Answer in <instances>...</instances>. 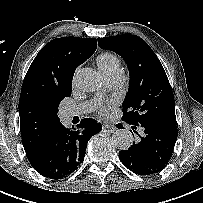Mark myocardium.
Segmentation results:
<instances>
[{
	"mask_svg": "<svg viewBox=\"0 0 203 203\" xmlns=\"http://www.w3.org/2000/svg\"><path fill=\"white\" fill-rule=\"evenodd\" d=\"M111 79L115 82V84L117 86L123 82V77L121 76V74H117V75L111 77Z\"/></svg>",
	"mask_w": 203,
	"mask_h": 203,
	"instance_id": "1",
	"label": "myocardium"
}]
</instances>
